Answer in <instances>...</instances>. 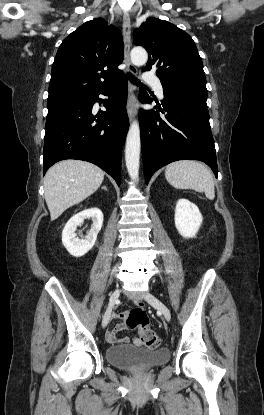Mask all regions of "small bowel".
Wrapping results in <instances>:
<instances>
[{"mask_svg": "<svg viewBox=\"0 0 264 415\" xmlns=\"http://www.w3.org/2000/svg\"><path fill=\"white\" fill-rule=\"evenodd\" d=\"M125 317V313L118 312L113 315V319H123ZM127 326L124 323H117L112 326L109 330L106 331L105 338L107 343L111 345H118V344H128L130 339L128 337H119L118 333L124 330H127ZM133 343L136 346H141L142 341L140 338H134Z\"/></svg>", "mask_w": 264, "mask_h": 415, "instance_id": "obj_1", "label": "small bowel"}]
</instances>
